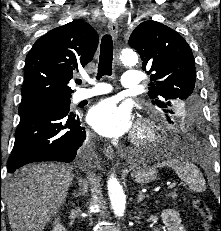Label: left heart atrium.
<instances>
[{
    "label": "left heart atrium",
    "mask_w": 221,
    "mask_h": 231,
    "mask_svg": "<svg viewBox=\"0 0 221 231\" xmlns=\"http://www.w3.org/2000/svg\"><path fill=\"white\" fill-rule=\"evenodd\" d=\"M90 125L101 135L119 137L131 130L132 114L127 105H118L105 99L94 105L88 113Z\"/></svg>",
    "instance_id": "39dd6f15"
}]
</instances>
